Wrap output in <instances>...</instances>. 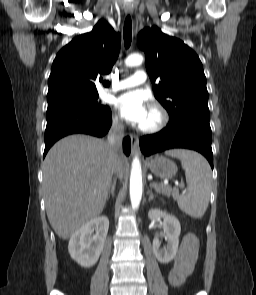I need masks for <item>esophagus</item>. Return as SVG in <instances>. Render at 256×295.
<instances>
[{
  "label": "esophagus",
  "mask_w": 256,
  "mask_h": 295,
  "mask_svg": "<svg viewBox=\"0 0 256 295\" xmlns=\"http://www.w3.org/2000/svg\"><path fill=\"white\" fill-rule=\"evenodd\" d=\"M133 12V7L131 5H127L125 7V13L126 14H131ZM130 140H131V149H132V153H136L137 152V148H138V143H139V138L135 135H130Z\"/></svg>",
  "instance_id": "1"
}]
</instances>
